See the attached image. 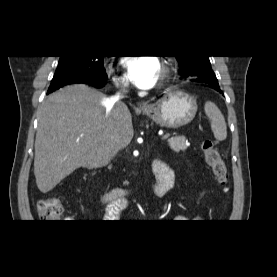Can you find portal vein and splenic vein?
<instances>
[{
	"label": "portal vein and splenic vein",
	"instance_id": "1",
	"mask_svg": "<svg viewBox=\"0 0 277 277\" xmlns=\"http://www.w3.org/2000/svg\"><path fill=\"white\" fill-rule=\"evenodd\" d=\"M170 136H171V134H170V133H167V134H165V135L162 136V140L169 139Z\"/></svg>",
	"mask_w": 277,
	"mask_h": 277
}]
</instances>
